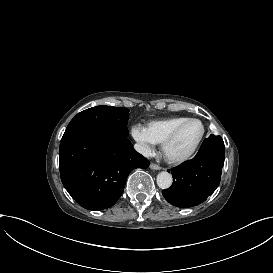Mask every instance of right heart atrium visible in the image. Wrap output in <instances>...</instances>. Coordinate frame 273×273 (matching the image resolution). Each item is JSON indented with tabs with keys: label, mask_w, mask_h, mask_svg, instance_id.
Wrapping results in <instances>:
<instances>
[{
	"label": "right heart atrium",
	"mask_w": 273,
	"mask_h": 273,
	"mask_svg": "<svg viewBox=\"0 0 273 273\" xmlns=\"http://www.w3.org/2000/svg\"><path fill=\"white\" fill-rule=\"evenodd\" d=\"M131 135L137 142L139 149L143 154L149 155L152 153L154 149V143L148 137L144 127L141 125H134L131 128Z\"/></svg>",
	"instance_id": "1"
}]
</instances>
